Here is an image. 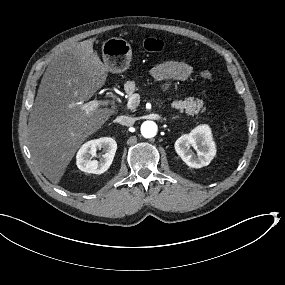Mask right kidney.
<instances>
[{"mask_svg":"<svg viewBox=\"0 0 285 285\" xmlns=\"http://www.w3.org/2000/svg\"><path fill=\"white\" fill-rule=\"evenodd\" d=\"M105 152L99 161L92 160L96 156L97 149ZM117 150V143L111 137H101L84 143L76 155L77 167L87 173L102 174L108 170L112 164Z\"/></svg>","mask_w":285,"mask_h":285,"instance_id":"right-kidney-1","label":"right kidney"}]
</instances>
